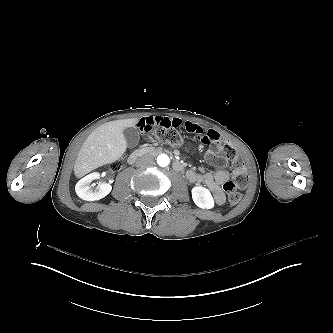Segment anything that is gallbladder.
<instances>
[{
  "label": "gallbladder",
  "instance_id": "gallbladder-1",
  "mask_svg": "<svg viewBox=\"0 0 333 333\" xmlns=\"http://www.w3.org/2000/svg\"><path fill=\"white\" fill-rule=\"evenodd\" d=\"M124 138L129 148L135 147L139 142V132L135 127H128L123 130Z\"/></svg>",
  "mask_w": 333,
  "mask_h": 333
}]
</instances>
